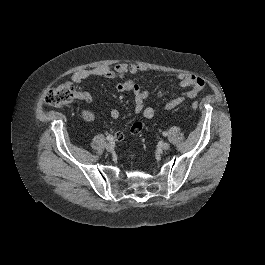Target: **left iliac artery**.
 Masks as SVG:
<instances>
[{"label":"left iliac artery","instance_id":"1","mask_svg":"<svg viewBox=\"0 0 265 265\" xmlns=\"http://www.w3.org/2000/svg\"><path fill=\"white\" fill-rule=\"evenodd\" d=\"M163 135H164V136H167V135H168V133H167V132H163Z\"/></svg>","mask_w":265,"mask_h":265}]
</instances>
